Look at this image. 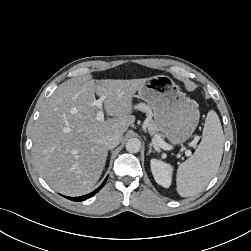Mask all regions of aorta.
Wrapping results in <instances>:
<instances>
[{"mask_svg":"<svg viewBox=\"0 0 251 251\" xmlns=\"http://www.w3.org/2000/svg\"><path fill=\"white\" fill-rule=\"evenodd\" d=\"M141 149V141L137 138H131L126 143V150L129 153H138Z\"/></svg>","mask_w":251,"mask_h":251,"instance_id":"obj_1","label":"aorta"}]
</instances>
